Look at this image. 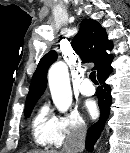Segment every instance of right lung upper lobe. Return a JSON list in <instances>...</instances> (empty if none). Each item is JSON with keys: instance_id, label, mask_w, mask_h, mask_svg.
I'll use <instances>...</instances> for the list:
<instances>
[{"instance_id": "1", "label": "right lung upper lobe", "mask_w": 130, "mask_h": 153, "mask_svg": "<svg viewBox=\"0 0 130 153\" xmlns=\"http://www.w3.org/2000/svg\"><path fill=\"white\" fill-rule=\"evenodd\" d=\"M71 44L84 62L95 63L93 69L97 70V75L110 66L113 60V56L106 52L112 48V42L108 40L105 29L93 19L82 20L80 30ZM56 60L55 51H50L41 58L30 84L26 105L37 102L43 94L47 86V70Z\"/></svg>"}]
</instances>
